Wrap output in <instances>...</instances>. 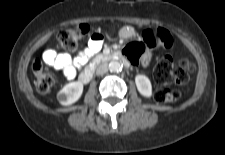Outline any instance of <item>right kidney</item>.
<instances>
[{
  "instance_id": "ca27d5eb",
  "label": "right kidney",
  "mask_w": 225,
  "mask_h": 155,
  "mask_svg": "<svg viewBox=\"0 0 225 155\" xmlns=\"http://www.w3.org/2000/svg\"><path fill=\"white\" fill-rule=\"evenodd\" d=\"M83 84L79 81L71 82L65 85L58 93L57 100L62 105H71L75 103L82 95Z\"/></svg>"
}]
</instances>
